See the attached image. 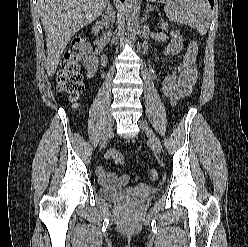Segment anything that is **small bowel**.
I'll return each instance as SVG.
<instances>
[{
	"instance_id": "small-bowel-1",
	"label": "small bowel",
	"mask_w": 248,
	"mask_h": 247,
	"mask_svg": "<svg viewBox=\"0 0 248 247\" xmlns=\"http://www.w3.org/2000/svg\"><path fill=\"white\" fill-rule=\"evenodd\" d=\"M189 54L188 48L185 51L184 58ZM197 79L196 61L189 66L179 76V88L175 98L172 100L174 103L180 99L185 98L191 92L192 86L195 84ZM97 175L99 180L103 184H112L118 186H124L129 182V176L126 174L118 175L115 173H108L104 166L100 165L97 167Z\"/></svg>"
}]
</instances>
